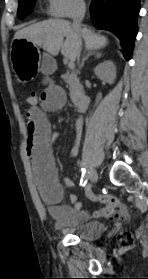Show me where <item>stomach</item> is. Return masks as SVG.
I'll use <instances>...</instances> for the list:
<instances>
[{"label":"stomach","instance_id":"stomach-1","mask_svg":"<svg viewBox=\"0 0 148 279\" xmlns=\"http://www.w3.org/2000/svg\"><path fill=\"white\" fill-rule=\"evenodd\" d=\"M12 50V67L20 81L31 79L37 71L51 73L56 67V62L51 56L41 54L39 48L26 39L14 41Z\"/></svg>","mask_w":148,"mask_h":279}]
</instances>
